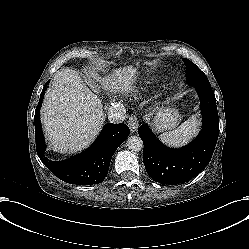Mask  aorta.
Listing matches in <instances>:
<instances>
[{"mask_svg":"<svg viewBox=\"0 0 249 249\" xmlns=\"http://www.w3.org/2000/svg\"><path fill=\"white\" fill-rule=\"evenodd\" d=\"M127 147L134 151V152H139L143 149V141L139 136H130L128 137L126 141Z\"/></svg>","mask_w":249,"mask_h":249,"instance_id":"1","label":"aorta"}]
</instances>
